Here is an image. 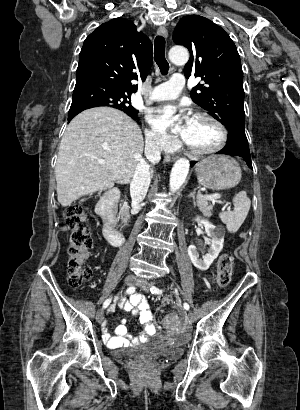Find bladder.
<instances>
[{
	"instance_id": "31cf9c89",
	"label": "bladder",
	"mask_w": 300,
	"mask_h": 410,
	"mask_svg": "<svg viewBox=\"0 0 300 410\" xmlns=\"http://www.w3.org/2000/svg\"><path fill=\"white\" fill-rule=\"evenodd\" d=\"M183 347L184 345L182 343L164 341L156 345H148L147 347L137 352L141 355L146 356L163 355L170 357H179L182 355Z\"/></svg>"
}]
</instances>
